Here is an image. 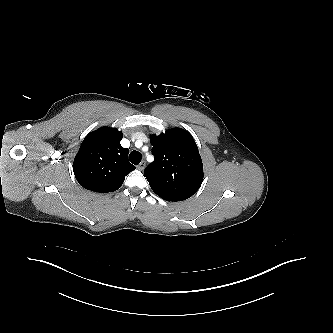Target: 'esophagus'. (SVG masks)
I'll return each mask as SVG.
<instances>
[{
  "label": "esophagus",
  "mask_w": 333,
  "mask_h": 333,
  "mask_svg": "<svg viewBox=\"0 0 333 333\" xmlns=\"http://www.w3.org/2000/svg\"><path fill=\"white\" fill-rule=\"evenodd\" d=\"M145 165H146L145 162L142 161V162L137 166V169H138V170H144Z\"/></svg>",
  "instance_id": "34e87169"
}]
</instances>
